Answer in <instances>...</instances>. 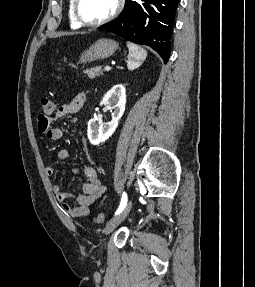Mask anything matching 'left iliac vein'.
I'll use <instances>...</instances> for the list:
<instances>
[{"label": "left iliac vein", "mask_w": 255, "mask_h": 287, "mask_svg": "<svg viewBox=\"0 0 255 287\" xmlns=\"http://www.w3.org/2000/svg\"><path fill=\"white\" fill-rule=\"evenodd\" d=\"M131 207L132 201L129 200L125 208L106 224V227L104 229V233L106 235L110 234L127 217L131 210Z\"/></svg>", "instance_id": "obj_1"}]
</instances>
